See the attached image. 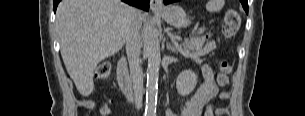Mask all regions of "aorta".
<instances>
[{"label":"aorta","instance_id":"aorta-1","mask_svg":"<svg viewBox=\"0 0 305 116\" xmlns=\"http://www.w3.org/2000/svg\"><path fill=\"white\" fill-rule=\"evenodd\" d=\"M145 46L148 54L146 112L147 114H153L156 111L159 67L161 63L158 31L154 26H151L147 31Z\"/></svg>","mask_w":305,"mask_h":116}]
</instances>
